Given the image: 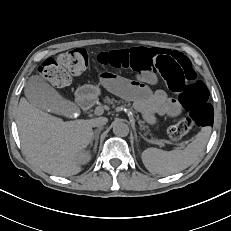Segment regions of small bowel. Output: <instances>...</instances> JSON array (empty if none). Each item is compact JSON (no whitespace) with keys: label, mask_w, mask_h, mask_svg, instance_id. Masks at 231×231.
I'll use <instances>...</instances> for the list:
<instances>
[{"label":"small bowel","mask_w":231,"mask_h":231,"mask_svg":"<svg viewBox=\"0 0 231 231\" xmlns=\"http://www.w3.org/2000/svg\"><path fill=\"white\" fill-rule=\"evenodd\" d=\"M99 79L106 90L125 99L132 100L135 106L144 113L176 116L181 111L175 99L167 97L163 91L152 93L141 81L129 80L108 71H102Z\"/></svg>","instance_id":"small-bowel-1"}]
</instances>
